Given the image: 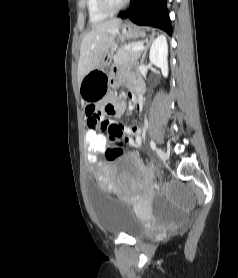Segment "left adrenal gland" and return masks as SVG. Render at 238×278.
Segmentation results:
<instances>
[{
    "label": "left adrenal gland",
    "instance_id": "obj_1",
    "mask_svg": "<svg viewBox=\"0 0 238 278\" xmlns=\"http://www.w3.org/2000/svg\"><path fill=\"white\" fill-rule=\"evenodd\" d=\"M156 34L155 33H152V35L150 36V40L146 39L144 42L146 43L145 45V48L143 50V54H142V58H141V64L144 62L145 60V57H146V53H147V50L151 44V42L153 41V38Z\"/></svg>",
    "mask_w": 238,
    "mask_h": 278
}]
</instances>
